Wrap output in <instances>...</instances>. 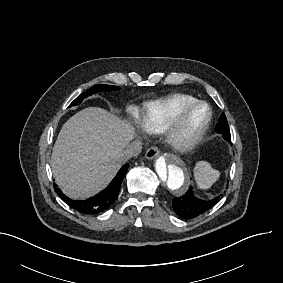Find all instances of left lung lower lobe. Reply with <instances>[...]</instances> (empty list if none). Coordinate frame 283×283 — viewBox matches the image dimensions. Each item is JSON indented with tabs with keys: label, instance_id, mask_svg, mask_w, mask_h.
Segmentation results:
<instances>
[{
	"label": "left lung lower lobe",
	"instance_id": "0a47b994",
	"mask_svg": "<svg viewBox=\"0 0 283 283\" xmlns=\"http://www.w3.org/2000/svg\"><path fill=\"white\" fill-rule=\"evenodd\" d=\"M215 131L222 134L224 140L231 141L230 130L226 116L222 114ZM219 200V196L209 201H203L195 197L192 189H189L183 196L174 198L172 201L175 212L184 219H192L208 212Z\"/></svg>",
	"mask_w": 283,
	"mask_h": 283
}]
</instances>
